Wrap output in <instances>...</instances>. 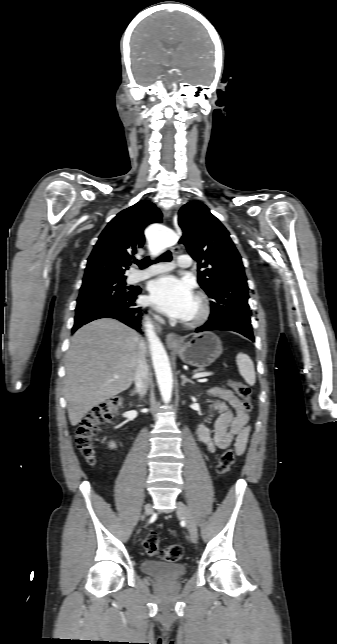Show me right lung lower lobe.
I'll use <instances>...</instances> for the list:
<instances>
[{
  "instance_id": "right-lung-lower-lobe-1",
  "label": "right lung lower lobe",
  "mask_w": 337,
  "mask_h": 644,
  "mask_svg": "<svg viewBox=\"0 0 337 644\" xmlns=\"http://www.w3.org/2000/svg\"><path fill=\"white\" fill-rule=\"evenodd\" d=\"M138 294H140L139 288L127 300L76 311L72 332H75L82 325L99 318H114L140 331L142 312L141 308L135 303Z\"/></svg>"
}]
</instances>
